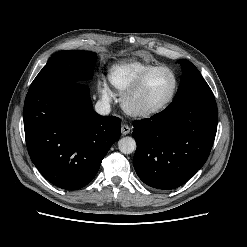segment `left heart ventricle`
Wrapping results in <instances>:
<instances>
[{"instance_id": "obj_1", "label": "left heart ventricle", "mask_w": 247, "mask_h": 247, "mask_svg": "<svg viewBox=\"0 0 247 247\" xmlns=\"http://www.w3.org/2000/svg\"><path fill=\"white\" fill-rule=\"evenodd\" d=\"M173 88V77L168 71L159 70L145 80L135 97L134 104L139 107H154L165 101Z\"/></svg>"}]
</instances>
